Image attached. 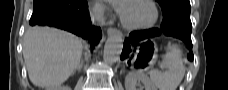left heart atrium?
<instances>
[{
  "label": "left heart atrium",
  "instance_id": "obj_1",
  "mask_svg": "<svg viewBox=\"0 0 228 90\" xmlns=\"http://www.w3.org/2000/svg\"><path fill=\"white\" fill-rule=\"evenodd\" d=\"M119 10H120V13H122L123 5L120 6Z\"/></svg>",
  "mask_w": 228,
  "mask_h": 90
}]
</instances>
